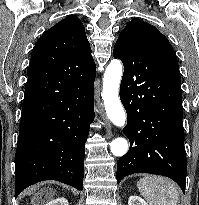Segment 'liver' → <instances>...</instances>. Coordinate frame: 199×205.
Wrapping results in <instances>:
<instances>
[{
    "label": "liver",
    "instance_id": "1",
    "mask_svg": "<svg viewBox=\"0 0 199 205\" xmlns=\"http://www.w3.org/2000/svg\"><path fill=\"white\" fill-rule=\"evenodd\" d=\"M44 192H45V191H42L41 193H38V194L36 195L37 198L34 199V201H33L34 204H39L38 198H39V196H42V195L44 194ZM53 195H54V192H52L49 196H46V197L44 198V201H45V200H51V199L53 198Z\"/></svg>",
    "mask_w": 199,
    "mask_h": 205
}]
</instances>
